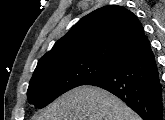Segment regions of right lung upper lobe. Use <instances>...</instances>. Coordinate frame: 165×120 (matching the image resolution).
I'll list each match as a JSON object with an SVG mask.
<instances>
[{
	"label": "right lung upper lobe",
	"mask_w": 165,
	"mask_h": 120,
	"mask_svg": "<svg viewBox=\"0 0 165 120\" xmlns=\"http://www.w3.org/2000/svg\"><path fill=\"white\" fill-rule=\"evenodd\" d=\"M142 24L122 6H105L83 17L59 39L38 65L70 58L121 63L149 45Z\"/></svg>",
	"instance_id": "right-lung-upper-lobe-1"
}]
</instances>
